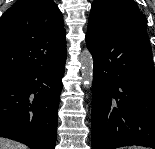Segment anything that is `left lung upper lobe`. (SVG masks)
<instances>
[{
	"instance_id": "obj_1",
	"label": "left lung upper lobe",
	"mask_w": 155,
	"mask_h": 149,
	"mask_svg": "<svg viewBox=\"0 0 155 149\" xmlns=\"http://www.w3.org/2000/svg\"><path fill=\"white\" fill-rule=\"evenodd\" d=\"M130 26L147 27L145 15L133 0H94L88 32L107 34Z\"/></svg>"
}]
</instances>
